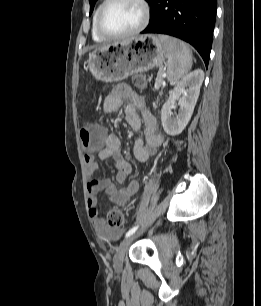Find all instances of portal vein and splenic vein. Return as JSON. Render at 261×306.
Returning a JSON list of instances; mask_svg holds the SVG:
<instances>
[{"label": "portal vein and splenic vein", "instance_id": "1", "mask_svg": "<svg viewBox=\"0 0 261 306\" xmlns=\"http://www.w3.org/2000/svg\"><path fill=\"white\" fill-rule=\"evenodd\" d=\"M161 76H164V75H159V78H158V79H160ZM158 79H157V80H158ZM155 88H157V83H155Z\"/></svg>", "mask_w": 261, "mask_h": 306}]
</instances>
